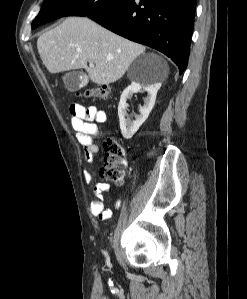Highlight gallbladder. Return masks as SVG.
<instances>
[{"label":"gallbladder","instance_id":"gallbladder-1","mask_svg":"<svg viewBox=\"0 0 247 299\" xmlns=\"http://www.w3.org/2000/svg\"><path fill=\"white\" fill-rule=\"evenodd\" d=\"M63 82L65 87L70 91L74 92L84 87L87 84V76L82 71H69L63 75Z\"/></svg>","mask_w":247,"mask_h":299}]
</instances>
